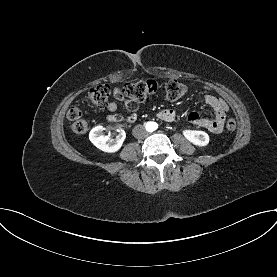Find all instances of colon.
Wrapping results in <instances>:
<instances>
[{
	"label": "colon",
	"instance_id": "5ec220e1",
	"mask_svg": "<svg viewBox=\"0 0 277 277\" xmlns=\"http://www.w3.org/2000/svg\"><path fill=\"white\" fill-rule=\"evenodd\" d=\"M188 85L185 82L169 79L164 82L155 80H139L123 85L121 93L134 103H139L150 99L155 94L161 93L168 100L175 101L188 93ZM111 90L107 85H99L91 88L85 95V101L99 108H104L108 104ZM81 104L71 107L67 112V118L71 121V129L76 134H83L88 129V123L81 118ZM235 121L229 119L226 127L228 130L235 129Z\"/></svg>",
	"mask_w": 277,
	"mask_h": 277
}]
</instances>
